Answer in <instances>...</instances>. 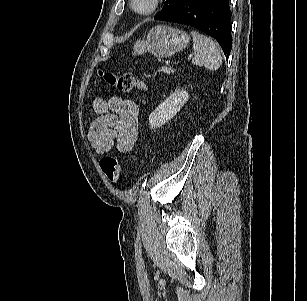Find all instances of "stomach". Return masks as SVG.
<instances>
[{
    "label": "stomach",
    "mask_w": 307,
    "mask_h": 301,
    "mask_svg": "<svg viewBox=\"0 0 307 301\" xmlns=\"http://www.w3.org/2000/svg\"><path fill=\"white\" fill-rule=\"evenodd\" d=\"M190 42L188 34L182 30L165 25L153 27L146 39L137 40L134 45L135 54L150 52L156 57H169L187 47Z\"/></svg>",
    "instance_id": "1"
}]
</instances>
